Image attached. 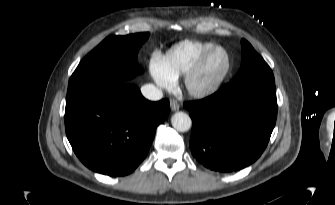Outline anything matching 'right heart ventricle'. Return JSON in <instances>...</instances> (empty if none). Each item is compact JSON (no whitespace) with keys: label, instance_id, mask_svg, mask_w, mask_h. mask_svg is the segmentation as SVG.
Returning a JSON list of instances; mask_svg holds the SVG:
<instances>
[{"label":"right heart ventricle","instance_id":"obj_1","mask_svg":"<svg viewBox=\"0 0 335 205\" xmlns=\"http://www.w3.org/2000/svg\"><path fill=\"white\" fill-rule=\"evenodd\" d=\"M214 45L209 41H181L167 51L164 57L165 67L175 79L185 75L201 54Z\"/></svg>","mask_w":335,"mask_h":205}]
</instances>
